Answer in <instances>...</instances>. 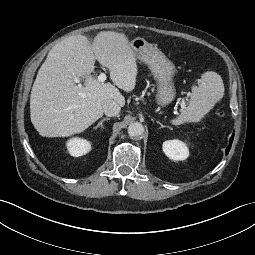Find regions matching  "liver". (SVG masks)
<instances>
[{"label": "liver", "mask_w": 255, "mask_h": 255, "mask_svg": "<svg viewBox=\"0 0 255 255\" xmlns=\"http://www.w3.org/2000/svg\"><path fill=\"white\" fill-rule=\"evenodd\" d=\"M110 71L114 84L90 76L95 61ZM138 68L128 37L116 31H101L92 44L85 35L57 43L40 67L30 96V117L45 137L81 133L103 115V103L125 105L119 89L134 90ZM83 77L84 85L75 79ZM119 88V89H118Z\"/></svg>", "instance_id": "obj_1"}]
</instances>
